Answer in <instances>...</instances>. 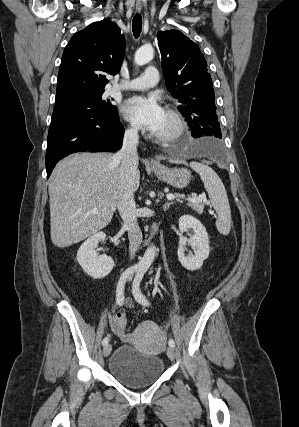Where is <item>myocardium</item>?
Instances as JSON below:
<instances>
[{
  "label": "myocardium",
  "mask_w": 299,
  "mask_h": 427,
  "mask_svg": "<svg viewBox=\"0 0 299 427\" xmlns=\"http://www.w3.org/2000/svg\"><path fill=\"white\" fill-rule=\"evenodd\" d=\"M165 114L170 118L172 122V128L165 133H156L155 139L159 142L168 143L179 139L185 132V121L182 115L173 108H167Z\"/></svg>",
  "instance_id": "1"
}]
</instances>
